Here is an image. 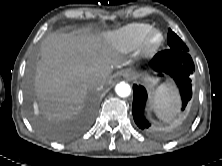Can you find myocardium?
<instances>
[{"label": "myocardium", "mask_w": 222, "mask_h": 166, "mask_svg": "<svg viewBox=\"0 0 222 166\" xmlns=\"http://www.w3.org/2000/svg\"><path fill=\"white\" fill-rule=\"evenodd\" d=\"M165 40L164 33L158 28H151L144 36L139 50L144 56L155 54L163 45Z\"/></svg>", "instance_id": "myocardium-1"}]
</instances>
